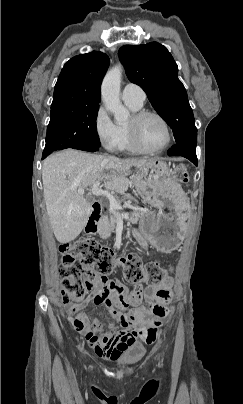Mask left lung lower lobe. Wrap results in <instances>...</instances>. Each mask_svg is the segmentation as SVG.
Masks as SVG:
<instances>
[{
	"mask_svg": "<svg viewBox=\"0 0 243 404\" xmlns=\"http://www.w3.org/2000/svg\"><path fill=\"white\" fill-rule=\"evenodd\" d=\"M169 156H183L189 159L194 165L197 166L198 160L196 156V144L178 143L175 144L168 152Z\"/></svg>",
	"mask_w": 243,
	"mask_h": 404,
	"instance_id": "left-lung-lower-lobe-1",
	"label": "left lung lower lobe"
}]
</instances>
